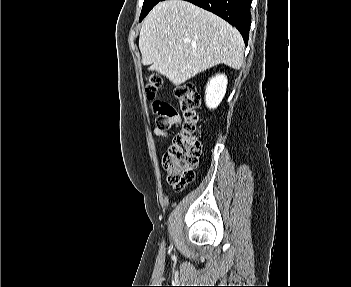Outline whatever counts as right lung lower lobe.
Returning a JSON list of instances; mask_svg holds the SVG:
<instances>
[{
	"mask_svg": "<svg viewBox=\"0 0 351 287\" xmlns=\"http://www.w3.org/2000/svg\"><path fill=\"white\" fill-rule=\"evenodd\" d=\"M163 1V0H162ZM223 18L241 33L245 44L251 24L252 0H186Z\"/></svg>",
	"mask_w": 351,
	"mask_h": 287,
	"instance_id": "98d812e1",
	"label": "right lung lower lobe"
}]
</instances>
